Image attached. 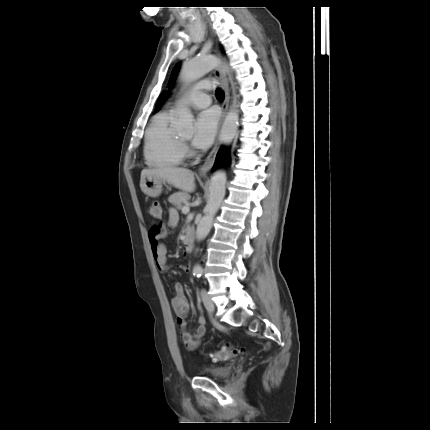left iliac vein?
Listing matches in <instances>:
<instances>
[{
    "instance_id": "obj_1",
    "label": "left iliac vein",
    "mask_w": 430,
    "mask_h": 430,
    "mask_svg": "<svg viewBox=\"0 0 430 430\" xmlns=\"http://www.w3.org/2000/svg\"><path fill=\"white\" fill-rule=\"evenodd\" d=\"M201 297L204 303L205 308L207 311L212 314L214 312L215 306L214 302L212 301L210 295L207 293L205 289L201 290Z\"/></svg>"
}]
</instances>
